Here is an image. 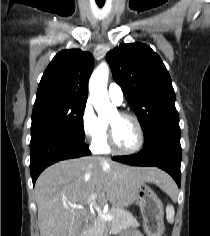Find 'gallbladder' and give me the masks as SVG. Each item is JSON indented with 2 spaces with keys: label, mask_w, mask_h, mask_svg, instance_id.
Returning <instances> with one entry per match:
<instances>
[{
  "label": "gallbladder",
  "mask_w": 210,
  "mask_h": 236,
  "mask_svg": "<svg viewBox=\"0 0 210 236\" xmlns=\"http://www.w3.org/2000/svg\"><path fill=\"white\" fill-rule=\"evenodd\" d=\"M84 227H85V224L83 223L81 226V231L84 229Z\"/></svg>",
  "instance_id": "bac80fb5"
}]
</instances>
